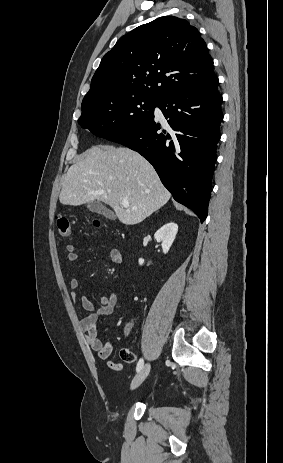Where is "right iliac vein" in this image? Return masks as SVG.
<instances>
[{"label":"right iliac vein","instance_id":"63e3f726","mask_svg":"<svg viewBox=\"0 0 283 463\" xmlns=\"http://www.w3.org/2000/svg\"><path fill=\"white\" fill-rule=\"evenodd\" d=\"M150 368H151L150 364L147 363L136 374V376L133 378L132 383H131L132 390L136 389L143 383V381L146 379V377L148 376L150 372Z\"/></svg>","mask_w":283,"mask_h":463}]
</instances>
